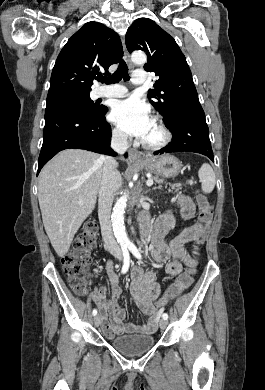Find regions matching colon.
Returning a JSON list of instances; mask_svg holds the SVG:
<instances>
[{
	"instance_id": "1",
	"label": "colon",
	"mask_w": 265,
	"mask_h": 390,
	"mask_svg": "<svg viewBox=\"0 0 265 390\" xmlns=\"http://www.w3.org/2000/svg\"><path fill=\"white\" fill-rule=\"evenodd\" d=\"M199 221L206 223L212 213V204L203 195H198ZM98 237V228L95 223H88L84 230L74 239L68 253L62 258V268L67 280L77 294L83 295L88 290V269L91 265V251L95 248ZM200 243V242H198ZM196 251V247H193ZM195 273L194 267L180 274L168 292L155 303L159 310L176 298L192 282Z\"/></svg>"
}]
</instances>
